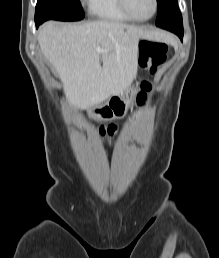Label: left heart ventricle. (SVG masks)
I'll return each mask as SVG.
<instances>
[{
    "mask_svg": "<svg viewBox=\"0 0 219 258\" xmlns=\"http://www.w3.org/2000/svg\"><path fill=\"white\" fill-rule=\"evenodd\" d=\"M128 6L132 14L138 18L150 16L154 10L153 0H128Z\"/></svg>",
    "mask_w": 219,
    "mask_h": 258,
    "instance_id": "b2bd125f",
    "label": "left heart ventricle"
}]
</instances>
